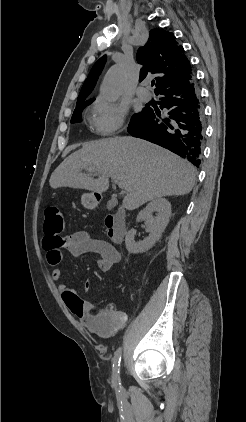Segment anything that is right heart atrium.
Masks as SVG:
<instances>
[{
    "label": "right heart atrium",
    "instance_id": "obj_1",
    "mask_svg": "<svg viewBox=\"0 0 246 422\" xmlns=\"http://www.w3.org/2000/svg\"><path fill=\"white\" fill-rule=\"evenodd\" d=\"M126 113L121 105L97 98L91 106V127L101 136H111L122 129Z\"/></svg>",
    "mask_w": 246,
    "mask_h": 422
}]
</instances>
